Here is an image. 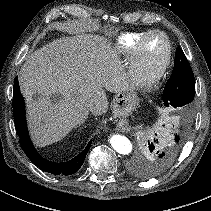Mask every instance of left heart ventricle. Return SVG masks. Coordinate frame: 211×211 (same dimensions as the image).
<instances>
[{
	"label": "left heart ventricle",
	"mask_w": 211,
	"mask_h": 211,
	"mask_svg": "<svg viewBox=\"0 0 211 211\" xmlns=\"http://www.w3.org/2000/svg\"><path fill=\"white\" fill-rule=\"evenodd\" d=\"M166 53V42L162 36L154 35L145 42L141 53V73L149 75L163 61Z\"/></svg>",
	"instance_id": "b2bd125f"
}]
</instances>
